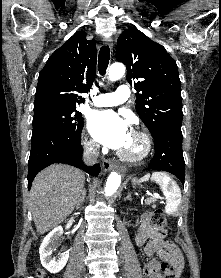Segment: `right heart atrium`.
<instances>
[{
  "label": "right heart atrium",
  "mask_w": 221,
  "mask_h": 278,
  "mask_svg": "<svg viewBox=\"0 0 221 278\" xmlns=\"http://www.w3.org/2000/svg\"><path fill=\"white\" fill-rule=\"evenodd\" d=\"M84 146L88 152H94L97 148L95 141L92 139H86L84 142Z\"/></svg>",
  "instance_id": "1"
}]
</instances>
